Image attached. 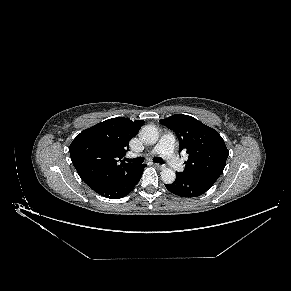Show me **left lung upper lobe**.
I'll list each match as a JSON object with an SVG mask.
<instances>
[{"label": "left lung upper lobe", "instance_id": "left-lung-upper-lobe-1", "mask_svg": "<svg viewBox=\"0 0 291 291\" xmlns=\"http://www.w3.org/2000/svg\"><path fill=\"white\" fill-rule=\"evenodd\" d=\"M160 123L176 133L180 152L185 150L189 155L182 173L189 177L221 175L229 152L216 130L184 114L172 115Z\"/></svg>", "mask_w": 291, "mask_h": 291}]
</instances>
